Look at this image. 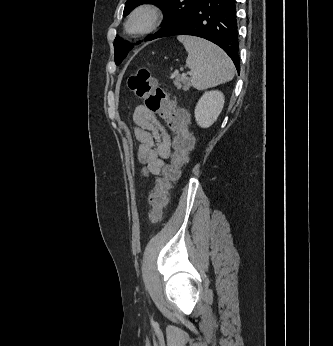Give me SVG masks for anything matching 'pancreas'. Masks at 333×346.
Masks as SVG:
<instances>
[{
    "label": "pancreas",
    "instance_id": "obj_1",
    "mask_svg": "<svg viewBox=\"0 0 333 346\" xmlns=\"http://www.w3.org/2000/svg\"><path fill=\"white\" fill-rule=\"evenodd\" d=\"M177 80H178V85L181 86V83L184 84L185 89H189V87L191 86L190 79L186 77V75L184 74L178 75Z\"/></svg>",
    "mask_w": 333,
    "mask_h": 346
}]
</instances>
